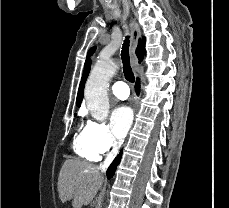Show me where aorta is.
Returning a JSON list of instances; mask_svg holds the SVG:
<instances>
[{"instance_id":"762f6f07","label":"aorta","mask_w":229,"mask_h":208,"mask_svg":"<svg viewBox=\"0 0 229 208\" xmlns=\"http://www.w3.org/2000/svg\"><path fill=\"white\" fill-rule=\"evenodd\" d=\"M117 64L111 60L99 61L93 67L85 85V100L95 120L102 121L109 113L108 84L117 71Z\"/></svg>"}]
</instances>
